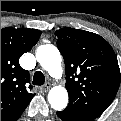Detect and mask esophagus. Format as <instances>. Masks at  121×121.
Segmentation results:
<instances>
[{"instance_id":"34e87169","label":"esophagus","mask_w":121,"mask_h":121,"mask_svg":"<svg viewBox=\"0 0 121 121\" xmlns=\"http://www.w3.org/2000/svg\"><path fill=\"white\" fill-rule=\"evenodd\" d=\"M49 88H50V84H49V83H46V84L42 87V90H43L44 92H47V91L49 90Z\"/></svg>"}]
</instances>
